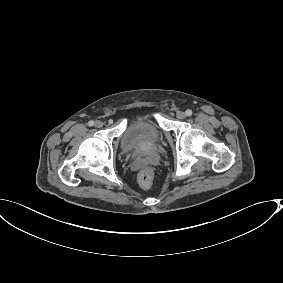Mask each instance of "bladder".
<instances>
[{
	"mask_svg": "<svg viewBox=\"0 0 283 283\" xmlns=\"http://www.w3.org/2000/svg\"><path fill=\"white\" fill-rule=\"evenodd\" d=\"M164 140L159 124L148 116H131L121 139V148L127 151L141 147L157 148Z\"/></svg>",
	"mask_w": 283,
	"mask_h": 283,
	"instance_id": "1",
	"label": "bladder"
}]
</instances>
